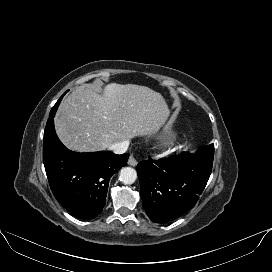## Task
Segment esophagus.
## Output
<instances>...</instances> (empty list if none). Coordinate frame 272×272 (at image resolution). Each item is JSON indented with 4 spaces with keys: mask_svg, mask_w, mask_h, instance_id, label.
<instances>
[{
    "mask_svg": "<svg viewBox=\"0 0 272 272\" xmlns=\"http://www.w3.org/2000/svg\"><path fill=\"white\" fill-rule=\"evenodd\" d=\"M128 164L134 167L137 165V160L133 156H130L128 159Z\"/></svg>",
    "mask_w": 272,
    "mask_h": 272,
    "instance_id": "1",
    "label": "esophagus"
}]
</instances>
